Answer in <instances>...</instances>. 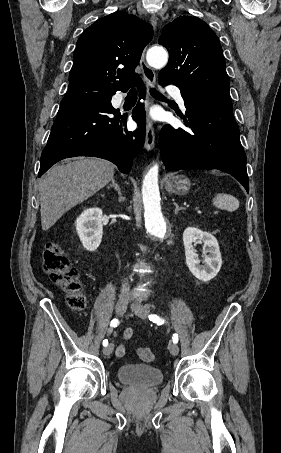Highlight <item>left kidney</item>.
<instances>
[{
	"mask_svg": "<svg viewBox=\"0 0 281 453\" xmlns=\"http://www.w3.org/2000/svg\"><path fill=\"white\" fill-rule=\"evenodd\" d=\"M198 241H203L205 247H207L203 251L205 257V261H203L204 265H200L199 255L194 253L192 249V243H198ZM183 243L185 247L186 265L192 275L196 279H199V281H204V283L214 279L222 265L217 239L213 235H210V233H204V231L195 229V227H188L183 233Z\"/></svg>",
	"mask_w": 281,
	"mask_h": 453,
	"instance_id": "5707ae66",
	"label": "left kidney"
}]
</instances>
